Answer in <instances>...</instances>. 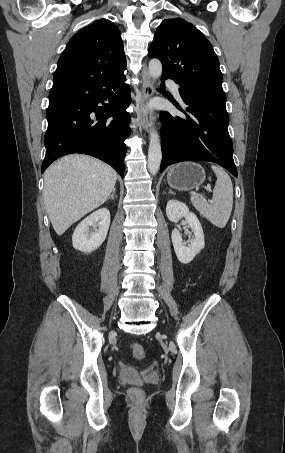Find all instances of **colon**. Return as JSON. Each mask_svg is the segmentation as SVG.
<instances>
[{
    "label": "colon",
    "instance_id": "5ec220e1",
    "mask_svg": "<svg viewBox=\"0 0 285 453\" xmlns=\"http://www.w3.org/2000/svg\"><path fill=\"white\" fill-rule=\"evenodd\" d=\"M130 351H131V354L132 356L137 359V360H140L144 357L145 355V350H144V347L140 344V343H132L130 345ZM130 395L133 397V398H139L141 396V391L139 389H131L130 390Z\"/></svg>",
    "mask_w": 285,
    "mask_h": 453
}]
</instances>
